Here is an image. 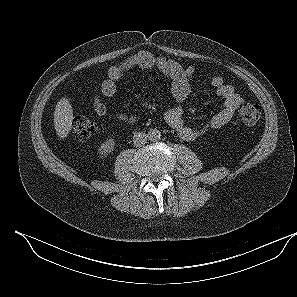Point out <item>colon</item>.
Here are the masks:
<instances>
[{"instance_id": "colon-1", "label": "colon", "mask_w": 297, "mask_h": 297, "mask_svg": "<svg viewBox=\"0 0 297 297\" xmlns=\"http://www.w3.org/2000/svg\"><path fill=\"white\" fill-rule=\"evenodd\" d=\"M238 116L242 125L254 126L261 118V108L257 104L245 103L240 107ZM72 126L75 137L80 140L91 137L96 131V124L84 116L75 117Z\"/></svg>"}]
</instances>
